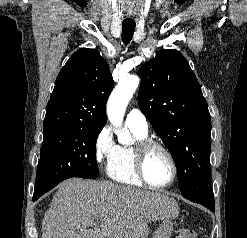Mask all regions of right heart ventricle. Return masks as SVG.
I'll return each mask as SVG.
<instances>
[{
    "label": "right heart ventricle",
    "instance_id": "1",
    "mask_svg": "<svg viewBox=\"0 0 247 238\" xmlns=\"http://www.w3.org/2000/svg\"><path fill=\"white\" fill-rule=\"evenodd\" d=\"M130 130L137 142L147 138V132L134 128ZM106 172L110 179L119 184L135 187L144 185L135 169V145H117L107 163Z\"/></svg>",
    "mask_w": 247,
    "mask_h": 238
}]
</instances>
